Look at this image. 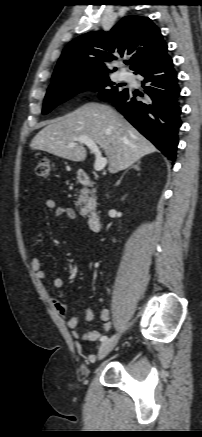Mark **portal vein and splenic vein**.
Instances as JSON below:
<instances>
[{
	"label": "portal vein and splenic vein",
	"instance_id": "portal-vein-and-splenic-vein-1",
	"mask_svg": "<svg viewBox=\"0 0 202 437\" xmlns=\"http://www.w3.org/2000/svg\"><path fill=\"white\" fill-rule=\"evenodd\" d=\"M75 141L85 144L90 150L91 152H93L95 154V163H94V169L96 171H101L105 168L106 164H107V158L102 157V154L98 148V146L96 145V143L85 137V136H80L75 138ZM75 144H70V147H73Z\"/></svg>",
	"mask_w": 202,
	"mask_h": 437
}]
</instances>
